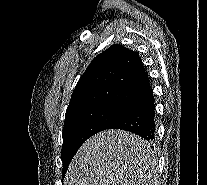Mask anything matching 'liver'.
I'll list each match as a JSON object with an SVG mask.
<instances>
[{"label":"liver","instance_id":"liver-1","mask_svg":"<svg viewBox=\"0 0 207 185\" xmlns=\"http://www.w3.org/2000/svg\"><path fill=\"white\" fill-rule=\"evenodd\" d=\"M138 135L121 129L87 139L73 157L64 185H147L155 157Z\"/></svg>","mask_w":207,"mask_h":185}]
</instances>
